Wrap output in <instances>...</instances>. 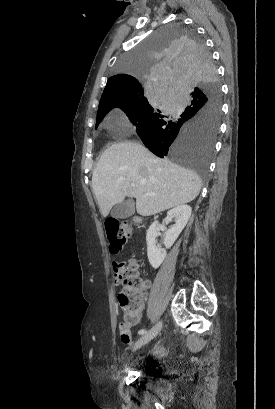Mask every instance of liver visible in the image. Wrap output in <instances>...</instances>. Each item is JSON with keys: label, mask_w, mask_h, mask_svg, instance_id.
Returning <instances> with one entry per match:
<instances>
[{"label": "liver", "mask_w": 275, "mask_h": 409, "mask_svg": "<svg viewBox=\"0 0 275 409\" xmlns=\"http://www.w3.org/2000/svg\"><path fill=\"white\" fill-rule=\"evenodd\" d=\"M92 186L103 217L125 196H134L137 213L149 217L194 200L201 178L192 168L158 158L143 144L125 140L104 150L93 170Z\"/></svg>", "instance_id": "obj_1"}]
</instances>
